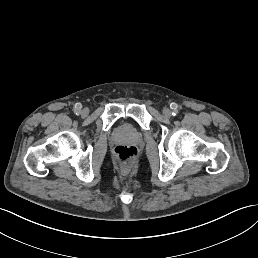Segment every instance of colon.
Instances as JSON below:
<instances>
[{"label": "colon", "mask_w": 258, "mask_h": 258, "mask_svg": "<svg viewBox=\"0 0 258 258\" xmlns=\"http://www.w3.org/2000/svg\"><path fill=\"white\" fill-rule=\"evenodd\" d=\"M114 155L121 164L127 166L136 160L138 151L133 146L120 145L114 149Z\"/></svg>", "instance_id": "obj_1"}]
</instances>
